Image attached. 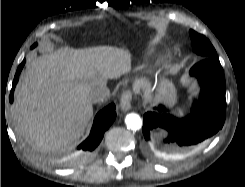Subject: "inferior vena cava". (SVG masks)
Listing matches in <instances>:
<instances>
[{
	"instance_id": "inferior-vena-cava-1",
	"label": "inferior vena cava",
	"mask_w": 245,
	"mask_h": 187,
	"mask_svg": "<svg viewBox=\"0 0 245 187\" xmlns=\"http://www.w3.org/2000/svg\"><path fill=\"white\" fill-rule=\"evenodd\" d=\"M109 96V88L106 86V84H100L90 92L89 98L93 103H100L107 99Z\"/></svg>"
}]
</instances>
